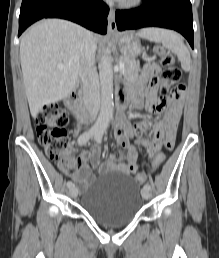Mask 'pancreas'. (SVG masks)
I'll use <instances>...</instances> for the list:
<instances>
[{
	"instance_id": "1",
	"label": "pancreas",
	"mask_w": 219,
	"mask_h": 258,
	"mask_svg": "<svg viewBox=\"0 0 219 258\" xmlns=\"http://www.w3.org/2000/svg\"><path fill=\"white\" fill-rule=\"evenodd\" d=\"M154 58H147V61H152ZM121 63H124L125 68L122 70L121 74L125 79H135L138 77L140 71V63L134 58H121Z\"/></svg>"
}]
</instances>
